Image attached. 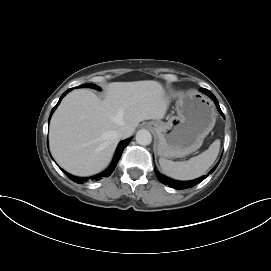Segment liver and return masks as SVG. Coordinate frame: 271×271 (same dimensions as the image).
<instances>
[{"mask_svg": "<svg viewBox=\"0 0 271 271\" xmlns=\"http://www.w3.org/2000/svg\"><path fill=\"white\" fill-rule=\"evenodd\" d=\"M170 100L153 80L112 82L104 100L88 89L69 93L54 112L49 130L50 150L57 163L77 176H91L110 163L128 125L164 118Z\"/></svg>", "mask_w": 271, "mask_h": 271, "instance_id": "1", "label": "liver"}]
</instances>
